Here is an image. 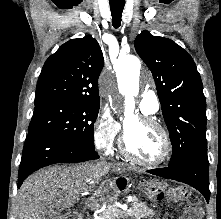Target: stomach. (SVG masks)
I'll return each mask as SVG.
<instances>
[{
    "mask_svg": "<svg viewBox=\"0 0 221 219\" xmlns=\"http://www.w3.org/2000/svg\"><path fill=\"white\" fill-rule=\"evenodd\" d=\"M140 185L141 191L146 195V199L152 200L154 203L157 200L166 199L168 190H165L166 183L161 178H145Z\"/></svg>",
    "mask_w": 221,
    "mask_h": 219,
    "instance_id": "1",
    "label": "stomach"
}]
</instances>
